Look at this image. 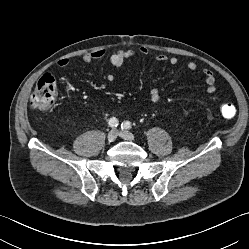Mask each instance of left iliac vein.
<instances>
[{
    "label": "left iliac vein",
    "instance_id": "left-iliac-vein-1",
    "mask_svg": "<svg viewBox=\"0 0 249 249\" xmlns=\"http://www.w3.org/2000/svg\"><path fill=\"white\" fill-rule=\"evenodd\" d=\"M119 136L125 140H129V141H132L134 140V135L131 133V132H128V131H120L119 132Z\"/></svg>",
    "mask_w": 249,
    "mask_h": 249
}]
</instances>
